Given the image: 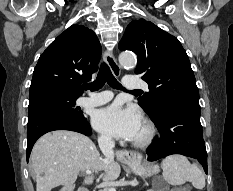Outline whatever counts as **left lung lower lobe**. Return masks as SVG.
Wrapping results in <instances>:
<instances>
[{"label":"left lung lower lobe","instance_id":"left-lung-lower-lobe-1","mask_svg":"<svg viewBox=\"0 0 233 191\" xmlns=\"http://www.w3.org/2000/svg\"><path fill=\"white\" fill-rule=\"evenodd\" d=\"M152 120L159 130V136L146 151L148 161L182 154L197 159L207 173V152L200 110L188 106L161 107Z\"/></svg>","mask_w":233,"mask_h":191}]
</instances>
